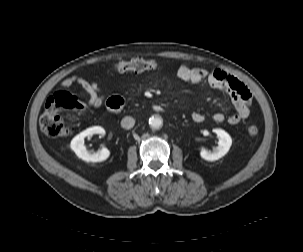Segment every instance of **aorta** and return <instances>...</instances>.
I'll use <instances>...</instances> for the list:
<instances>
[{
    "mask_svg": "<svg viewBox=\"0 0 303 252\" xmlns=\"http://www.w3.org/2000/svg\"><path fill=\"white\" fill-rule=\"evenodd\" d=\"M150 126L155 128V129H159L162 127L163 121L161 119V117L155 115L152 116L149 120Z\"/></svg>",
    "mask_w": 303,
    "mask_h": 252,
    "instance_id": "1",
    "label": "aorta"
}]
</instances>
